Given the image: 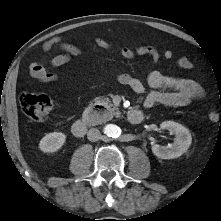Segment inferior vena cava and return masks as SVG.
<instances>
[{"label": "inferior vena cava", "mask_w": 221, "mask_h": 221, "mask_svg": "<svg viewBox=\"0 0 221 221\" xmlns=\"http://www.w3.org/2000/svg\"><path fill=\"white\" fill-rule=\"evenodd\" d=\"M89 141L95 142L101 138V133L97 128H91L87 133Z\"/></svg>", "instance_id": "1"}]
</instances>
